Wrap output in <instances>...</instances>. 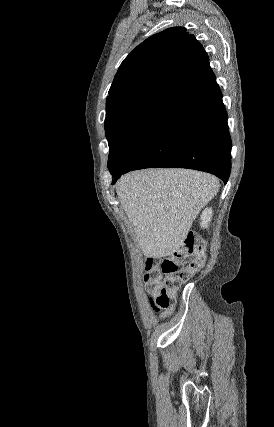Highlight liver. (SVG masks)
Listing matches in <instances>:
<instances>
[{"label": "liver", "mask_w": 274, "mask_h": 427, "mask_svg": "<svg viewBox=\"0 0 274 427\" xmlns=\"http://www.w3.org/2000/svg\"><path fill=\"white\" fill-rule=\"evenodd\" d=\"M146 257H166L184 245L202 208L213 200L219 180L195 170L130 172L116 186Z\"/></svg>", "instance_id": "obj_1"}]
</instances>
